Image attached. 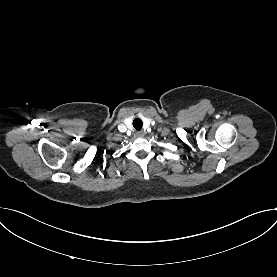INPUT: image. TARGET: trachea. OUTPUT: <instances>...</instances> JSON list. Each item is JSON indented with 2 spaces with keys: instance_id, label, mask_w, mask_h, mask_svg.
Returning <instances> with one entry per match:
<instances>
[{
  "instance_id": "1",
  "label": "trachea",
  "mask_w": 277,
  "mask_h": 277,
  "mask_svg": "<svg viewBox=\"0 0 277 277\" xmlns=\"http://www.w3.org/2000/svg\"><path fill=\"white\" fill-rule=\"evenodd\" d=\"M142 126H143V122L141 119L139 118H135L133 120V127L136 129V130H141L142 129Z\"/></svg>"
}]
</instances>
